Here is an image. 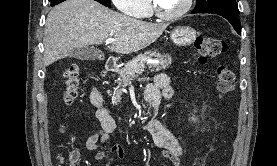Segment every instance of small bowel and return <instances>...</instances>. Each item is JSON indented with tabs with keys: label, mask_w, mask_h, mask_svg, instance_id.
<instances>
[{
	"label": "small bowel",
	"mask_w": 277,
	"mask_h": 166,
	"mask_svg": "<svg viewBox=\"0 0 277 166\" xmlns=\"http://www.w3.org/2000/svg\"><path fill=\"white\" fill-rule=\"evenodd\" d=\"M156 91L165 98H170L172 89L169 86L168 77L159 74L155 82L146 88L145 96L149 100L150 93ZM90 101L97 108V118L100 122V129L92 133L87 141L86 148L90 151H97L96 160H103L108 156L123 158L124 152L121 146L114 145L107 150H99L103 145L110 141L116 128L115 120L109 112L103 107V97L98 89L94 88L90 92ZM149 131L157 147L162 150L163 156L174 166H181L182 147L175 135L159 121H152L149 124Z\"/></svg>",
	"instance_id": "1"
}]
</instances>
